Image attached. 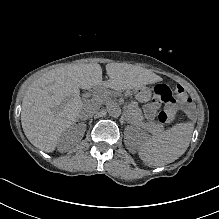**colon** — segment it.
Returning <instances> with one entry per match:
<instances>
[{"label": "colon", "mask_w": 219, "mask_h": 219, "mask_svg": "<svg viewBox=\"0 0 219 219\" xmlns=\"http://www.w3.org/2000/svg\"><path fill=\"white\" fill-rule=\"evenodd\" d=\"M172 96V100L168 101L165 108L158 114V120L162 124H169L174 120L176 114V99L180 101L188 100L186 91L181 85L175 87Z\"/></svg>", "instance_id": "5ec220e1"}]
</instances>
